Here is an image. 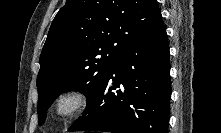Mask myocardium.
I'll return each mask as SVG.
<instances>
[{
    "mask_svg": "<svg viewBox=\"0 0 221 133\" xmlns=\"http://www.w3.org/2000/svg\"><path fill=\"white\" fill-rule=\"evenodd\" d=\"M89 97L86 92L78 88L61 91L53 100L52 115L60 120L69 119L88 108Z\"/></svg>",
    "mask_w": 221,
    "mask_h": 133,
    "instance_id": "1",
    "label": "myocardium"
}]
</instances>
